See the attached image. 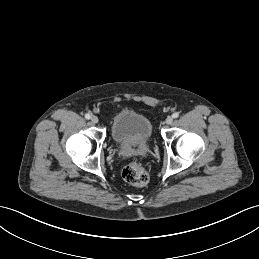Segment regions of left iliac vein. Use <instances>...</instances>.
<instances>
[{"label": "left iliac vein", "instance_id": "left-iliac-vein-1", "mask_svg": "<svg viewBox=\"0 0 259 259\" xmlns=\"http://www.w3.org/2000/svg\"><path fill=\"white\" fill-rule=\"evenodd\" d=\"M172 122H173V118L171 116H168L165 120V123L168 125L171 124Z\"/></svg>", "mask_w": 259, "mask_h": 259}]
</instances>
